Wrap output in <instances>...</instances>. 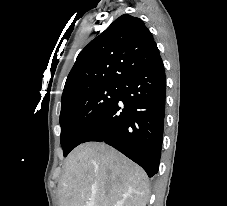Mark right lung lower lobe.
<instances>
[{
  "instance_id": "98d812e1",
  "label": "right lung lower lobe",
  "mask_w": 227,
  "mask_h": 206,
  "mask_svg": "<svg viewBox=\"0 0 227 206\" xmlns=\"http://www.w3.org/2000/svg\"><path fill=\"white\" fill-rule=\"evenodd\" d=\"M165 71L161 57L129 74L117 100L91 128L82 143L105 142L148 174L158 172L165 112Z\"/></svg>"
}]
</instances>
